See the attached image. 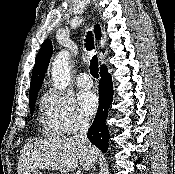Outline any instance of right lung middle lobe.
<instances>
[{
    "label": "right lung middle lobe",
    "instance_id": "dd1d6c3e",
    "mask_svg": "<svg viewBox=\"0 0 175 174\" xmlns=\"http://www.w3.org/2000/svg\"><path fill=\"white\" fill-rule=\"evenodd\" d=\"M35 100L36 98L29 100V107H30L31 114H33Z\"/></svg>",
    "mask_w": 175,
    "mask_h": 174
}]
</instances>
